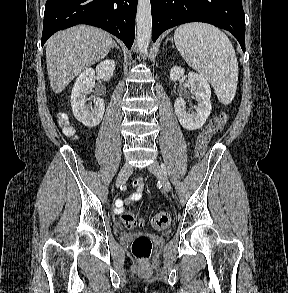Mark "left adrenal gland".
<instances>
[{
	"instance_id": "obj_1",
	"label": "left adrenal gland",
	"mask_w": 288,
	"mask_h": 293,
	"mask_svg": "<svg viewBox=\"0 0 288 293\" xmlns=\"http://www.w3.org/2000/svg\"><path fill=\"white\" fill-rule=\"evenodd\" d=\"M171 40V42H172V47H174V45H173V39H170Z\"/></svg>"
}]
</instances>
